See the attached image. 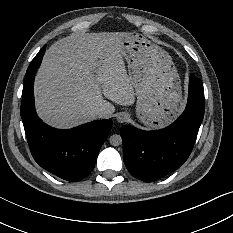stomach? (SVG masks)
Segmentation results:
<instances>
[{
    "label": "stomach",
    "instance_id": "1",
    "mask_svg": "<svg viewBox=\"0 0 233 233\" xmlns=\"http://www.w3.org/2000/svg\"><path fill=\"white\" fill-rule=\"evenodd\" d=\"M136 96V115L147 128H161L183 109L180 78L171 57L140 33L120 44Z\"/></svg>",
    "mask_w": 233,
    "mask_h": 233
}]
</instances>
